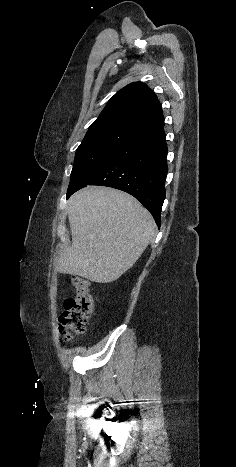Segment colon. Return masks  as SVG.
<instances>
[{"instance_id":"1","label":"colon","mask_w":236,"mask_h":467,"mask_svg":"<svg viewBox=\"0 0 236 467\" xmlns=\"http://www.w3.org/2000/svg\"><path fill=\"white\" fill-rule=\"evenodd\" d=\"M70 287L75 295L65 299L64 311L59 319L60 331L65 340L85 332L94 308L90 283L86 278L73 275Z\"/></svg>"}]
</instances>
